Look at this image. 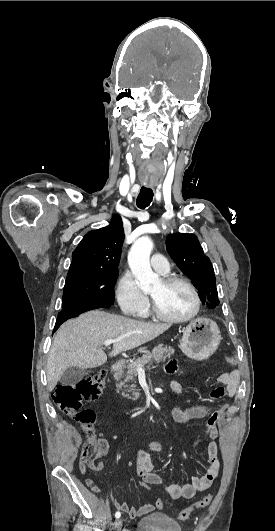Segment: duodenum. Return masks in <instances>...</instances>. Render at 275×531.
Returning <instances> with one entry per match:
<instances>
[{
    "instance_id": "1",
    "label": "duodenum",
    "mask_w": 275,
    "mask_h": 531,
    "mask_svg": "<svg viewBox=\"0 0 275 531\" xmlns=\"http://www.w3.org/2000/svg\"><path fill=\"white\" fill-rule=\"evenodd\" d=\"M125 365L124 359H119L112 367L111 372H118L120 371Z\"/></svg>"
}]
</instances>
